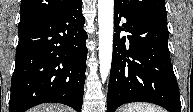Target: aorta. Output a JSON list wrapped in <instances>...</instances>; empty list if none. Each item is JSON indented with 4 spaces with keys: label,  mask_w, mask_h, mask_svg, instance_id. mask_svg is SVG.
I'll use <instances>...</instances> for the list:
<instances>
[{
    "label": "aorta",
    "mask_w": 193,
    "mask_h": 112,
    "mask_svg": "<svg viewBox=\"0 0 193 112\" xmlns=\"http://www.w3.org/2000/svg\"><path fill=\"white\" fill-rule=\"evenodd\" d=\"M113 0H98V25H99V63L100 76L104 82L111 68L113 51Z\"/></svg>",
    "instance_id": "obj_1"
}]
</instances>
